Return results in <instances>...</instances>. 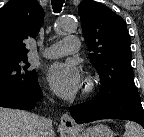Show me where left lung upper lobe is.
<instances>
[{"label":"left lung upper lobe","instance_id":"left-lung-upper-lobe-1","mask_svg":"<svg viewBox=\"0 0 144 137\" xmlns=\"http://www.w3.org/2000/svg\"><path fill=\"white\" fill-rule=\"evenodd\" d=\"M82 31L90 61L97 70L101 97L138 93L134 84L131 61V40L125 21L110 8L83 0L79 5Z\"/></svg>","mask_w":144,"mask_h":137}]
</instances>
